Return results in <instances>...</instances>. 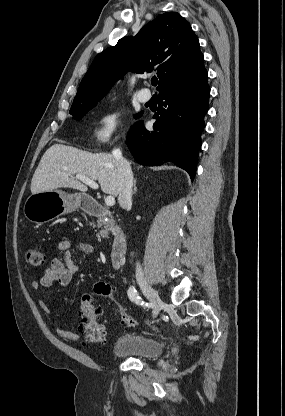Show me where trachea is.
Listing matches in <instances>:
<instances>
[{
	"instance_id": "obj_1",
	"label": "trachea",
	"mask_w": 285,
	"mask_h": 416,
	"mask_svg": "<svg viewBox=\"0 0 285 416\" xmlns=\"http://www.w3.org/2000/svg\"><path fill=\"white\" fill-rule=\"evenodd\" d=\"M152 85L155 87L158 83V79L156 77H153L151 80Z\"/></svg>"
}]
</instances>
